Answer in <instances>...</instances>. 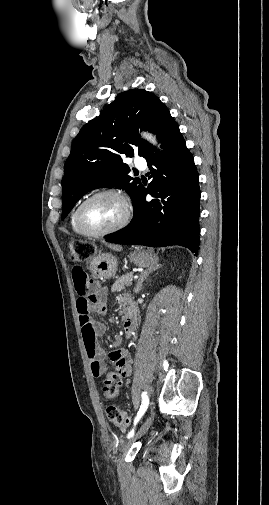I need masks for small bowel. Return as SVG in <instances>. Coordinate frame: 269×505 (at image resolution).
<instances>
[{
  "instance_id": "1",
  "label": "small bowel",
  "mask_w": 269,
  "mask_h": 505,
  "mask_svg": "<svg viewBox=\"0 0 269 505\" xmlns=\"http://www.w3.org/2000/svg\"><path fill=\"white\" fill-rule=\"evenodd\" d=\"M74 278V290L76 293V309L79 314L82 336L90 361L91 371L95 377L103 375L106 364V354L104 350L97 344V337L105 332V325L96 323L92 319V315H103L105 307L102 302V297L97 298L93 295L88 281V274L85 268H81L80 264L72 265ZM129 299L120 297L119 302L123 305ZM109 362L112 364L115 373L119 377L126 378L132 374L133 364L132 358L126 349L120 348L113 350L108 355Z\"/></svg>"
}]
</instances>
